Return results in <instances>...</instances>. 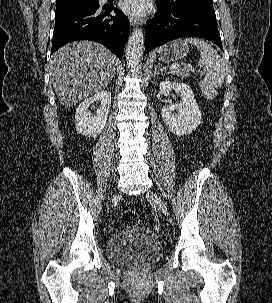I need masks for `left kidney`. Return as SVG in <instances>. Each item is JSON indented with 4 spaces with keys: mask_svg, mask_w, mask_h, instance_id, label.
Masks as SVG:
<instances>
[{
    "mask_svg": "<svg viewBox=\"0 0 272 303\" xmlns=\"http://www.w3.org/2000/svg\"><path fill=\"white\" fill-rule=\"evenodd\" d=\"M160 93L168 96L172 90L179 93L182 102L176 105H164L161 110L162 119L173 134L183 136L192 133L201 123V111L194 98L191 87L185 83L169 80L161 81ZM176 110V112H174Z\"/></svg>",
    "mask_w": 272,
    "mask_h": 303,
    "instance_id": "left-kidney-1",
    "label": "left kidney"
}]
</instances>
